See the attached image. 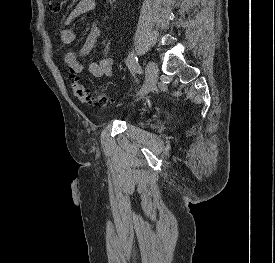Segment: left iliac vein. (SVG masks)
<instances>
[{"label": "left iliac vein", "mask_w": 275, "mask_h": 263, "mask_svg": "<svg viewBox=\"0 0 275 263\" xmlns=\"http://www.w3.org/2000/svg\"><path fill=\"white\" fill-rule=\"evenodd\" d=\"M146 82L138 93L140 96L147 94L156 84L158 78V66L155 62L149 61L145 68Z\"/></svg>", "instance_id": "4c4485c4"}]
</instances>
